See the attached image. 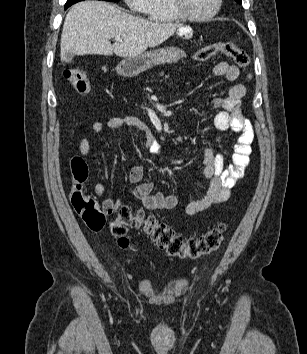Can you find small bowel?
Here are the masks:
<instances>
[{
  "instance_id": "1",
  "label": "small bowel",
  "mask_w": 307,
  "mask_h": 354,
  "mask_svg": "<svg viewBox=\"0 0 307 354\" xmlns=\"http://www.w3.org/2000/svg\"><path fill=\"white\" fill-rule=\"evenodd\" d=\"M195 31L188 29H177L175 38H195ZM214 75L224 77L229 82H234L239 77V69L227 62H220L214 67ZM246 94L243 84L237 83L230 87L224 98L215 99L214 103L219 108L214 117V126L220 132L233 131L237 133L238 140L234 146L232 164L224 168V159L221 155L214 154L211 148L205 147L204 153V176L209 180V187L204 197L188 203L185 212L188 215H195L216 204L227 201L231 195V189L244 175L250 162L251 144L254 139L252 124L242 114V98ZM107 127L109 129L136 128L144 138V147L152 154L164 157L160 141L154 136L150 127L141 119L135 116L113 117L106 123L95 121L91 129L100 133ZM79 151L83 156L91 153L90 141L83 138L79 143ZM172 163H179V160H172ZM144 176V168L140 165L134 166L129 172V182L138 184L131 190L132 196L139 200L147 210H169L178 205V199L174 195H166L163 192L152 194L153 184L150 182L140 183ZM97 196H102L105 187L102 183L94 186ZM122 205L120 200L106 198L103 206L114 212Z\"/></svg>"
}]
</instances>
